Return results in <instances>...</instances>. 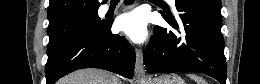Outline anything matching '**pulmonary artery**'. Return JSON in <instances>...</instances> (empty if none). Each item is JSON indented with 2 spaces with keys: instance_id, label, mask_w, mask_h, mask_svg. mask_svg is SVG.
<instances>
[{
  "instance_id": "pulmonary-artery-1",
  "label": "pulmonary artery",
  "mask_w": 260,
  "mask_h": 84,
  "mask_svg": "<svg viewBox=\"0 0 260 84\" xmlns=\"http://www.w3.org/2000/svg\"><path fill=\"white\" fill-rule=\"evenodd\" d=\"M168 2H169L170 5H172V6H174V4H175V0H168ZM110 8H111L110 5L106 4V5H104V6L101 7V12H102V13H105V12H107Z\"/></svg>"
}]
</instances>
